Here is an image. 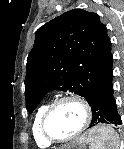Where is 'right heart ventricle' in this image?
I'll return each instance as SVG.
<instances>
[{"mask_svg":"<svg viewBox=\"0 0 124 149\" xmlns=\"http://www.w3.org/2000/svg\"><path fill=\"white\" fill-rule=\"evenodd\" d=\"M48 106H49V103H44L41 106H39L34 114L33 121H32L31 130H32L33 138L37 146L41 148H46L51 145V143L44 138L41 132V120Z\"/></svg>","mask_w":124,"mask_h":149,"instance_id":"obj_1","label":"right heart ventricle"}]
</instances>
